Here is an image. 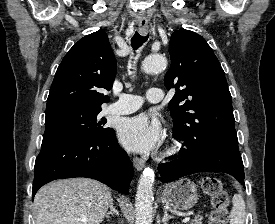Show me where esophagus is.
<instances>
[{
    "label": "esophagus",
    "mask_w": 275,
    "mask_h": 224,
    "mask_svg": "<svg viewBox=\"0 0 275 224\" xmlns=\"http://www.w3.org/2000/svg\"><path fill=\"white\" fill-rule=\"evenodd\" d=\"M138 30H139V33L143 36L148 34L149 27H148V23L146 20L139 21ZM133 163H134L135 168L138 171H141L145 167V160L138 156H134Z\"/></svg>",
    "instance_id": "esophagus-1"
}]
</instances>
